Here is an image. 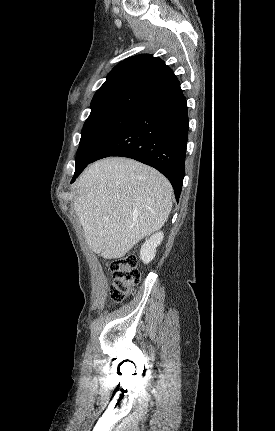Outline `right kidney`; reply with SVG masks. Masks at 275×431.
<instances>
[{
    "label": "right kidney",
    "mask_w": 275,
    "mask_h": 431,
    "mask_svg": "<svg viewBox=\"0 0 275 431\" xmlns=\"http://www.w3.org/2000/svg\"><path fill=\"white\" fill-rule=\"evenodd\" d=\"M163 232H158L152 235L146 242L141 246L140 259L144 264L151 262L156 254V248L163 240Z\"/></svg>",
    "instance_id": "right-kidney-1"
}]
</instances>
